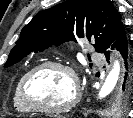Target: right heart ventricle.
Segmentation results:
<instances>
[{
	"label": "right heart ventricle",
	"mask_w": 133,
	"mask_h": 118,
	"mask_svg": "<svg viewBox=\"0 0 133 118\" xmlns=\"http://www.w3.org/2000/svg\"><path fill=\"white\" fill-rule=\"evenodd\" d=\"M31 68L25 70L21 76L19 77L16 85H15V88H14V92H13V105H14V108L17 112L21 113V114H28L30 112H32L28 107L27 105L23 102L22 100V96H21V82L24 78V76L26 75V73L31 70Z\"/></svg>",
	"instance_id": "right-heart-ventricle-1"
}]
</instances>
